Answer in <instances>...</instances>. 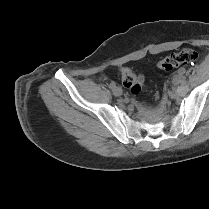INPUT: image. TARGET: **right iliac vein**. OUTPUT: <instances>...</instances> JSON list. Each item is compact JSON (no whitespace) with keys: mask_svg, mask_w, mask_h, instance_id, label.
I'll list each match as a JSON object with an SVG mask.
<instances>
[{"mask_svg":"<svg viewBox=\"0 0 209 209\" xmlns=\"http://www.w3.org/2000/svg\"><path fill=\"white\" fill-rule=\"evenodd\" d=\"M113 94L115 96H121L122 95V89L120 87H115L113 90H112Z\"/></svg>","mask_w":209,"mask_h":209,"instance_id":"1","label":"right iliac vein"}]
</instances>
